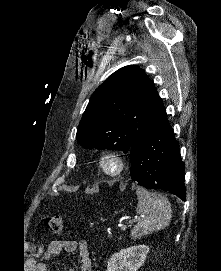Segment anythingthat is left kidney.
<instances>
[{"label":"left kidney","mask_w":221,"mask_h":271,"mask_svg":"<svg viewBox=\"0 0 221 271\" xmlns=\"http://www.w3.org/2000/svg\"><path fill=\"white\" fill-rule=\"evenodd\" d=\"M149 245H131L111 255L107 271H137L144 263Z\"/></svg>","instance_id":"5707ae66"}]
</instances>
